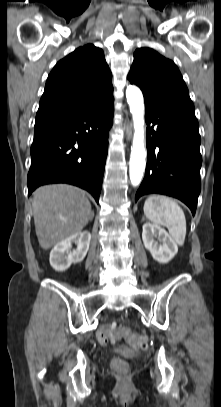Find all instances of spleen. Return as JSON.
I'll list each match as a JSON object with an SVG mask.
<instances>
[{
    "label": "spleen",
    "mask_w": 221,
    "mask_h": 407,
    "mask_svg": "<svg viewBox=\"0 0 221 407\" xmlns=\"http://www.w3.org/2000/svg\"><path fill=\"white\" fill-rule=\"evenodd\" d=\"M144 214L151 222L168 228L171 237L183 245L186 236V219L182 208L173 199L151 195L144 203Z\"/></svg>",
    "instance_id": "3e777b00"
}]
</instances>
